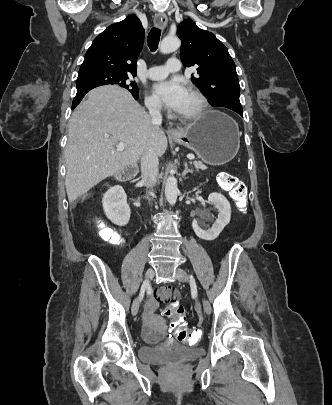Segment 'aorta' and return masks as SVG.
Segmentation results:
<instances>
[{
  "instance_id": "1",
  "label": "aorta",
  "mask_w": 332,
  "mask_h": 405,
  "mask_svg": "<svg viewBox=\"0 0 332 405\" xmlns=\"http://www.w3.org/2000/svg\"><path fill=\"white\" fill-rule=\"evenodd\" d=\"M180 40L175 36H166L160 43V51L164 54L172 53L180 47ZM179 190L177 187V179L170 175L165 184V196L169 204L174 205L177 201Z\"/></svg>"
}]
</instances>
